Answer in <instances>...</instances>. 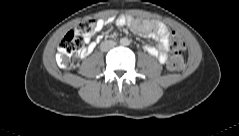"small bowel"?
<instances>
[{"instance_id":"1","label":"small bowel","mask_w":239,"mask_h":136,"mask_svg":"<svg viewBox=\"0 0 239 136\" xmlns=\"http://www.w3.org/2000/svg\"><path fill=\"white\" fill-rule=\"evenodd\" d=\"M110 21L111 20H98L97 30H102L103 27ZM115 24L117 27L128 25L133 32L158 41V47L146 45L144 46V49L150 55L156 57L160 63H166L169 53L170 32L165 24L154 21L140 20L129 16L118 17L115 21ZM83 41L85 42L86 46L83 48L81 56L86 57L95 49L97 41H92L90 36L84 37Z\"/></svg>"}]
</instances>
